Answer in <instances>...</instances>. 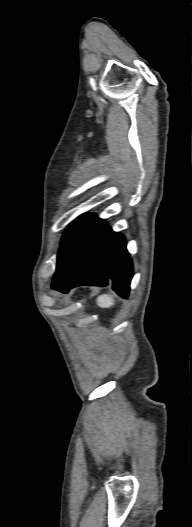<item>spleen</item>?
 I'll use <instances>...</instances> for the list:
<instances>
[{
  "label": "spleen",
  "instance_id": "3e777b00",
  "mask_svg": "<svg viewBox=\"0 0 192 527\" xmlns=\"http://www.w3.org/2000/svg\"><path fill=\"white\" fill-rule=\"evenodd\" d=\"M96 303L99 307L108 308L114 304V299L111 295L104 294L97 298Z\"/></svg>",
  "mask_w": 192,
  "mask_h": 527
}]
</instances>
